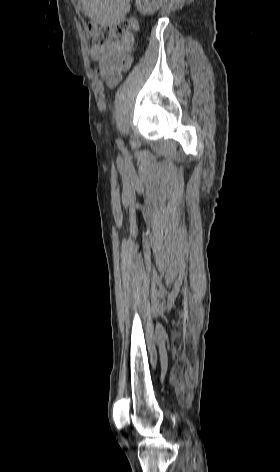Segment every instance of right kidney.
I'll use <instances>...</instances> for the list:
<instances>
[{"mask_svg": "<svg viewBox=\"0 0 280 472\" xmlns=\"http://www.w3.org/2000/svg\"><path fill=\"white\" fill-rule=\"evenodd\" d=\"M162 0H136L137 10L143 14H151L161 5Z\"/></svg>", "mask_w": 280, "mask_h": 472, "instance_id": "right-kidney-1", "label": "right kidney"}]
</instances>
